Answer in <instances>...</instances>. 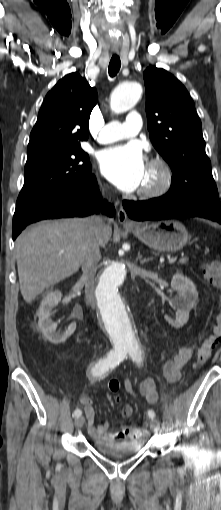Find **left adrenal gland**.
Returning a JSON list of instances; mask_svg holds the SVG:
<instances>
[{
	"label": "left adrenal gland",
	"instance_id": "obj_1",
	"mask_svg": "<svg viewBox=\"0 0 221 510\" xmlns=\"http://www.w3.org/2000/svg\"><path fill=\"white\" fill-rule=\"evenodd\" d=\"M138 258L140 260L141 265L152 260V258L142 259V255H140V254H139Z\"/></svg>",
	"mask_w": 221,
	"mask_h": 510
}]
</instances>
